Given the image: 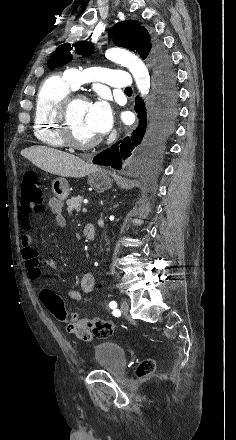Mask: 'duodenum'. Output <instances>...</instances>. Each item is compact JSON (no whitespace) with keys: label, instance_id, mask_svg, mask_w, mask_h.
Returning <instances> with one entry per match:
<instances>
[{"label":"duodenum","instance_id":"1","mask_svg":"<svg viewBox=\"0 0 236 440\" xmlns=\"http://www.w3.org/2000/svg\"><path fill=\"white\" fill-rule=\"evenodd\" d=\"M84 235L88 240H93L95 238V227L93 224L85 225Z\"/></svg>","mask_w":236,"mask_h":440}]
</instances>
